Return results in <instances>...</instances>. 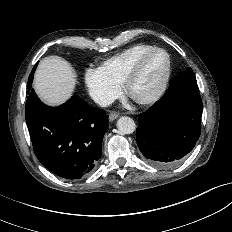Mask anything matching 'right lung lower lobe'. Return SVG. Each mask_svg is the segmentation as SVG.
<instances>
[{"label": "right lung lower lobe", "mask_w": 232, "mask_h": 232, "mask_svg": "<svg viewBox=\"0 0 232 232\" xmlns=\"http://www.w3.org/2000/svg\"><path fill=\"white\" fill-rule=\"evenodd\" d=\"M25 119L36 157L54 174L79 179L101 158L108 115L82 99L72 96L65 104L50 107L42 103L31 88Z\"/></svg>", "instance_id": "obj_1"}]
</instances>
